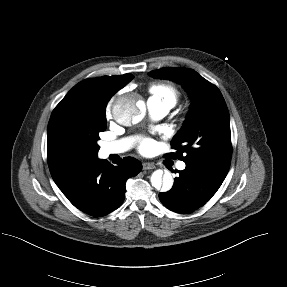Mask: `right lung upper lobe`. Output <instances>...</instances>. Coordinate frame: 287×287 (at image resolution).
Listing matches in <instances>:
<instances>
[{
    "label": "right lung upper lobe",
    "instance_id": "obj_1",
    "mask_svg": "<svg viewBox=\"0 0 287 287\" xmlns=\"http://www.w3.org/2000/svg\"><path fill=\"white\" fill-rule=\"evenodd\" d=\"M133 75L104 76L87 79L74 86L53 110L47 129V160L53 180L62 190L92 158H79L69 153L62 144L63 123L72 109L92 98L109 101Z\"/></svg>",
    "mask_w": 287,
    "mask_h": 287
}]
</instances>
